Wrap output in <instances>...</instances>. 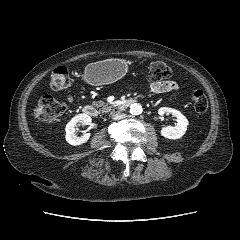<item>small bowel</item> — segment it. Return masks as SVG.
I'll use <instances>...</instances> for the list:
<instances>
[{"label": "small bowel", "instance_id": "1", "mask_svg": "<svg viewBox=\"0 0 240 240\" xmlns=\"http://www.w3.org/2000/svg\"><path fill=\"white\" fill-rule=\"evenodd\" d=\"M163 93H171L174 96L180 93L179 85L172 80L165 81H154L149 84L146 94H163Z\"/></svg>", "mask_w": 240, "mask_h": 240}]
</instances>
